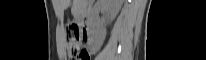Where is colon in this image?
Wrapping results in <instances>:
<instances>
[{"label": "colon", "mask_w": 206, "mask_h": 60, "mask_svg": "<svg viewBox=\"0 0 206 60\" xmlns=\"http://www.w3.org/2000/svg\"><path fill=\"white\" fill-rule=\"evenodd\" d=\"M66 41L69 60H89V54L85 47V37L76 24L68 25Z\"/></svg>", "instance_id": "obj_1"}]
</instances>
